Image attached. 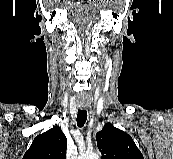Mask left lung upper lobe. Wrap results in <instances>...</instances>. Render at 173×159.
I'll list each match as a JSON object with an SVG mask.
<instances>
[{
	"label": "left lung upper lobe",
	"mask_w": 173,
	"mask_h": 159,
	"mask_svg": "<svg viewBox=\"0 0 173 159\" xmlns=\"http://www.w3.org/2000/svg\"><path fill=\"white\" fill-rule=\"evenodd\" d=\"M96 140L101 159H144L133 139L111 123L96 134Z\"/></svg>",
	"instance_id": "1"
}]
</instances>
